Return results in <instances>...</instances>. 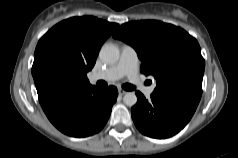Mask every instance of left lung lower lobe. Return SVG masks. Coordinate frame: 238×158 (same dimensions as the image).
Masks as SVG:
<instances>
[{
	"instance_id": "left-lung-lower-lobe-1",
	"label": "left lung lower lobe",
	"mask_w": 238,
	"mask_h": 158,
	"mask_svg": "<svg viewBox=\"0 0 238 158\" xmlns=\"http://www.w3.org/2000/svg\"><path fill=\"white\" fill-rule=\"evenodd\" d=\"M131 109L133 122L144 135L164 139L178 133L190 121L202 95V85L154 91L147 100L139 91Z\"/></svg>"
}]
</instances>
